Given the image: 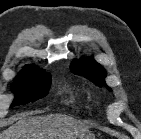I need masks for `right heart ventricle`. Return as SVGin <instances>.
I'll return each instance as SVG.
<instances>
[{
    "mask_svg": "<svg viewBox=\"0 0 141 139\" xmlns=\"http://www.w3.org/2000/svg\"><path fill=\"white\" fill-rule=\"evenodd\" d=\"M65 102L69 105H74L76 103V97L74 96L72 91H70V90L66 91Z\"/></svg>",
    "mask_w": 141,
    "mask_h": 139,
    "instance_id": "obj_1",
    "label": "right heart ventricle"
}]
</instances>
